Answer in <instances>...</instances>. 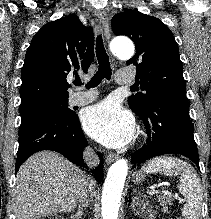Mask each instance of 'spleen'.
I'll list each match as a JSON object with an SVG mask.
<instances>
[{"instance_id": "3e777b00", "label": "spleen", "mask_w": 211, "mask_h": 219, "mask_svg": "<svg viewBox=\"0 0 211 219\" xmlns=\"http://www.w3.org/2000/svg\"><path fill=\"white\" fill-rule=\"evenodd\" d=\"M143 173H162L168 176L178 175V190L185 197L182 215L185 219H199L203 200L200 179L194 168L187 162L174 157H157L146 162Z\"/></svg>"}]
</instances>
